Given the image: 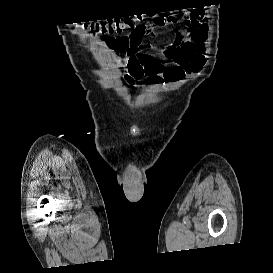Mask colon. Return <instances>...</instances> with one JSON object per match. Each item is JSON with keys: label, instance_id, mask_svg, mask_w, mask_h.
<instances>
[{"label": "colon", "instance_id": "1", "mask_svg": "<svg viewBox=\"0 0 273 273\" xmlns=\"http://www.w3.org/2000/svg\"><path fill=\"white\" fill-rule=\"evenodd\" d=\"M168 20L169 17H164L158 20V22L146 25L137 21L134 17L126 16L117 19L92 22L90 29L93 33L104 35H113L129 31L128 37L130 44L137 46L141 44L142 38L149 33L150 28L163 27Z\"/></svg>", "mask_w": 273, "mask_h": 273}]
</instances>
